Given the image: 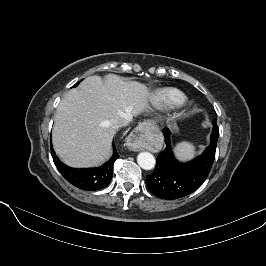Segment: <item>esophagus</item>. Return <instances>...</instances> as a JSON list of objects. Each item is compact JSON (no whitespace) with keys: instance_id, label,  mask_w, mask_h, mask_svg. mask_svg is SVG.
<instances>
[{"instance_id":"obj_1","label":"esophagus","mask_w":266,"mask_h":266,"mask_svg":"<svg viewBox=\"0 0 266 266\" xmlns=\"http://www.w3.org/2000/svg\"><path fill=\"white\" fill-rule=\"evenodd\" d=\"M150 129L147 122L139 124L126 138V145L131 151H140L145 147L146 132Z\"/></svg>"}]
</instances>
